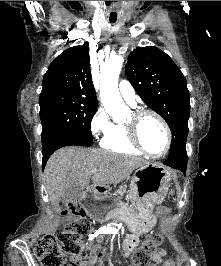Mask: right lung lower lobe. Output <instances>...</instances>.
<instances>
[{
  "mask_svg": "<svg viewBox=\"0 0 221 266\" xmlns=\"http://www.w3.org/2000/svg\"><path fill=\"white\" fill-rule=\"evenodd\" d=\"M68 145H81L80 143L78 142H64L63 144L61 145H58V146H55V147H52V148H49L47 150H43V161H42V166L44 168L48 158L51 156V154L56 151L57 149L63 147V146H68ZM83 146V145H82Z\"/></svg>",
  "mask_w": 221,
  "mask_h": 266,
  "instance_id": "98d812e1",
  "label": "right lung lower lobe"
}]
</instances>
